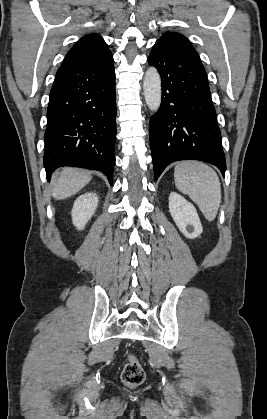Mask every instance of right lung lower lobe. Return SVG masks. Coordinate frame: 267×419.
<instances>
[{
    "mask_svg": "<svg viewBox=\"0 0 267 419\" xmlns=\"http://www.w3.org/2000/svg\"><path fill=\"white\" fill-rule=\"evenodd\" d=\"M113 60L98 67L61 66L50 91L44 167L103 172L113 183L116 92Z\"/></svg>",
    "mask_w": 267,
    "mask_h": 419,
    "instance_id": "right-lung-lower-lobe-1",
    "label": "right lung lower lobe"
}]
</instances>
